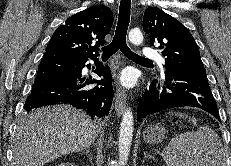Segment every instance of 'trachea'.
Returning <instances> with one entry per match:
<instances>
[{"label": "trachea", "instance_id": "trachea-1", "mask_svg": "<svg viewBox=\"0 0 231 166\" xmlns=\"http://www.w3.org/2000/svg\"><path fill=\"white\" fill-rule=\"evenodd\" d=\"M131 0H121L118 23L112 42L102 48V57L109 58L120 50L127 58L137 61H151L132 52L126 43V35L130 22Z\"/></svg>", "mask_w": 231, "mask_h": 166}]
</instances>
